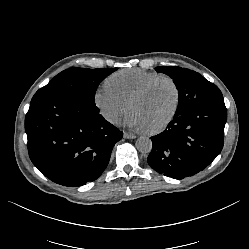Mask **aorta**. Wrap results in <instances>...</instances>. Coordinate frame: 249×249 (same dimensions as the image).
Returning a JSON list of instances; mask_svg holds the SVG:
<instances>
[{
    "label": "aorta",
    "mask_w": 249,
    "mask_h": 249,
    "mask_svg": "<svg viewBox=\"0 0 249 249\" xmlns=\"http://www.w3.org/2000/svg\"><path fill=\"white\" fill-rule=\"evenodd\" d=\"M136 148L141 153H150L152 150V141L149 137L140 136L136 140Z\"/></svg>",
    "instance_id": "obj_1"
}]
</instances>
